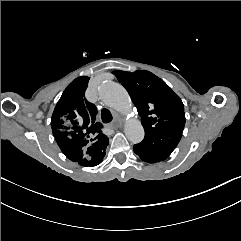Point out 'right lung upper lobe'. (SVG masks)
Masks as SVG:
<instances>
[{"instance_id":"right-lung-upper-lobe-1","label":"right lung upper lobe","mask_w":241,"mask_h":241,"mask_svg":"<svg viewBox=\"0 0 241 241\" xmlns=\"http://www.w3.org/2000/svg\"><path fill=\"white\" fill-rule=\"evenodd\" d=\"M89 77L75 79L64 90L51 118V128L62 153L84 167L97 165L108 145L97 109L85 98Z\"/></svg>"}]
</instances>
